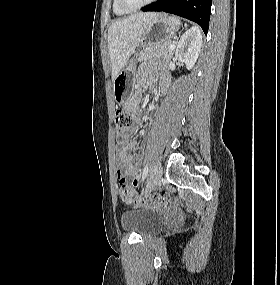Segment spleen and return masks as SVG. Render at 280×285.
I'll return each mask as SVG.
<instances>
[{
    "instance_id": "1",
    "label": "spleen",
    "mask_w": 280,
    "mask_h": 285,
    "mask_svg": "<svg viewBox=\"0 0 280 285\" xmlns=\"http://www.w3.org/2000/svg\"><path fill=\"white\" fill-rule=\"evenodd\" d=\"M172 21L177 24V25H181V22L179 19H177L176 17H171Z\"/></svg>"
}]
</instances>
